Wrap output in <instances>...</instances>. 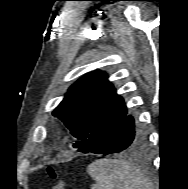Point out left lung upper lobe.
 Here are the masks:
<instances>
[{"label":"left lung upper lobe","mask_w":188,"mask_h":189,"mask_svg":"<svg viewBox=\"0 0 188 189\" xmlns=\"http://www.w3.org/2000/svg\"><path fill=\"white\" fill-rule=\"evenodd\" d=\"M102 71L77 80L53 111L78 141L73 145L88 153L127 115L121 96Z\"/></svg>","instance_id":"5c2ea615"}]
</instances>
